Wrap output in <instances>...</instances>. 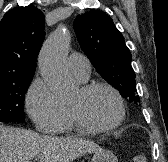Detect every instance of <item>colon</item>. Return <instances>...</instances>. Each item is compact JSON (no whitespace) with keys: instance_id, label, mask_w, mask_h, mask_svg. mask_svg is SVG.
<instances>
[{"instance_id":"5ec220e1","label":"colon","mask_w":168,"mask_h":162,"mask_svg":"<svg viewBox=\"0 0 168 162\" xmlns=\"http://www.w3.org/2000/svg\"><path fill=\"white\" fill-rule=\"evenodd\" d=\"M133 162H147V160L144 155L138 154L133 157Z\"/></svg>"}]
</instances>
